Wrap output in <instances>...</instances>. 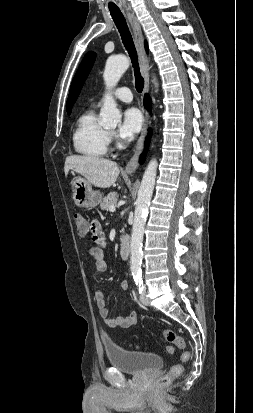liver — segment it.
<instances>
[{"label": "liver", "mask_w": 253, "mask_h": 413, "mask_svg": "<svg viewBox=\"0 0 253 413\" xmlns=\"http://www.w3.org/2000/svg\"><path fill=\"white\" fill-rule=\"evenodd\" d=\"M83 175L91 184L100 188L112 186L119 173L116 162L95 156H69L65 160L64 172L69 170Z\"/></svg>", "instance_id": "obj_1"}]
</instances>
